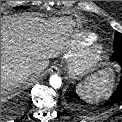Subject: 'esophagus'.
Instances as JSON below:
<instances>
[{
	"instance_id": "34e87169",
	"label": "esophagus",
	"mask_w": 122,
	"mask_h": 122,
	"mask_svg": "<svg viewBox=\"0 0 122 122\" xmlns=\"http://www.w3.org/2000/svg\"><path fill=\"white\" fill-rule=\"evenodd\" d=\"M59 71H60V69H59V67H58L57 65H52V66L49 68V70H48V72H49L50 74H57V73H59Z\"/></svg>"
}]
</instances>
